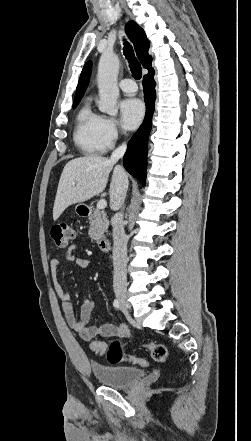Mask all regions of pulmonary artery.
<instances>
[{"mask_svg": "<svg viewBox=\"0 0 251 441\" xmlns=\"http://www.w3.org/2000/svg\"><path fill=\"white\" fill-rule=\"evenodd\" d=\"M119 86L124 92L129 94H134L137 91L136 83L129 78L121 80Z\"/></svg>", "mask_w": 251, "mask_h": 441, "instance_id": "e3ab8cb5", "label": "pulmonary artery"}]
</instances>
